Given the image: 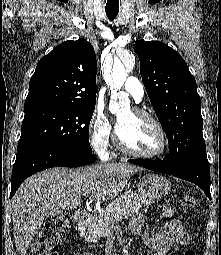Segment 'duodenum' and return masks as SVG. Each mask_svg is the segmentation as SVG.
<instances>
[{
    "mask_svg": "<svg viewBox=\"0 0 221 255\" xmlns=\"http://www.w3.org/2000/svg\"><path fill=\"white\" fill-rule=\"evenodd\" d=\"M74 220L81 226L85 227L89 225L90 216L86 211H78L75 216Z\"/></svg>",
    "mask_w": 221,
    "mask_h": 255,
    "instance_id": "duodenum-1",
    "label": "duodenum"
}]
</instances>
